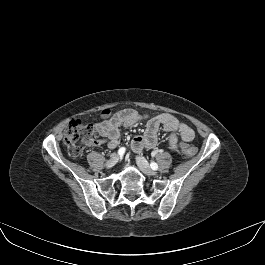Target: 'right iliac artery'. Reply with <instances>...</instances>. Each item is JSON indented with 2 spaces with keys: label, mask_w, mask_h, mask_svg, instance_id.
Wrapping results in <instances>:
<instances>
[{
  "label": "right iliac artery",
  "mask_w": 265,
  "mask_h": 265,
  "mask_svg": "<svg viewBox=\"0 0 265 265\" xmlns=\"http://www.w3.org/2000/svg\"><path fill=\"white\" fill-rule=\"evenodd\" d=\"M125 151H126V148H125V147H121V148L118 150V154H119L120 156H122V155L125 153Z\"/></svg>",
  "instance_id": "obj_1"
}]
</instances>
